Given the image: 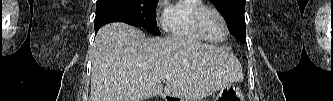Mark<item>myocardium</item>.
Returning <instances> with one entry per match:
<instances>
[{
  "instance_id": "myocardium-1",
  "label": "myocardium",
  "mask_w": 333,
  "mask_h": 101,
  "mask_svg": "<svg viewBox=\"0 0 333 101\" xmlns=\"http://www.w3.org/2000/svg\"><path fill=\"white\" fill-rule=\"evenodd\" d=\"M206 10L214 12L220 18V20L223 24L224 34L219 39H215V38H212L211 36H209L202 25V15H203L204 11H206ZM192 21H193V25H194L195 29L207 40H210L213 42H221L224 39H226V37L228 36L229 28H228L227 22L223 16V14L215 7H212L209 5H200L199 7H197L194 10L193 15H192Z\"/></svg>"
}]
</instances>
